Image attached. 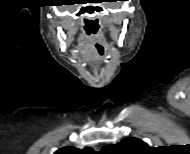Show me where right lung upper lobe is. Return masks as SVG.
Listing matches in <instances>:
<instances>
[{
    "instance_id": "1",
    "label": "right lung upper lobe",
    "mask_w": 190,
    "mask_h": 154,
    "mask_svg": "<svg viewBox=\"0 0 190 154\" xmlns=\"http://www.w3.org/2000/svg\"><path fill=\"white\" fill-rule=\"evenodd\" d=\"M93 149L91 148H84L83 150L74 148V147H64L57 150L54 154H79V153H89L92 152Z\"/></svg>"
}]
</instances>
